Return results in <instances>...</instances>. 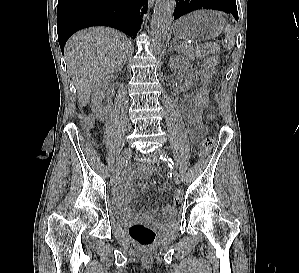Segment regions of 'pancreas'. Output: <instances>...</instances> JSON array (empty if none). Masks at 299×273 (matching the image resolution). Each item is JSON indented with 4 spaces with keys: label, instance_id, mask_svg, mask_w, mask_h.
<instances>
[{
    "label": "pancreas",
    "instance_id": "1",
    "mask_svg": "<svg viewBox=\"0 0 299 273\" xmlns=\"http://www.w3.org/2000/svg\"><path fill=\"white\" fill-rule=\"evenodd\" d=\"M178 47L184 55L190 58H195L196 56H200V54L195 51V48L188 43H180Z\"/></svg>",
    "mask_w": 299,
    "mask_h": 273
}]
</instances>
